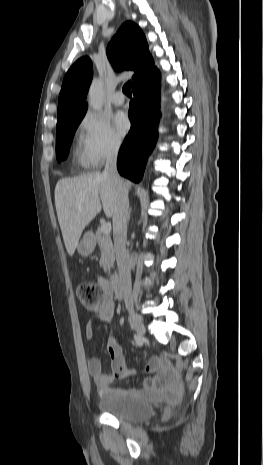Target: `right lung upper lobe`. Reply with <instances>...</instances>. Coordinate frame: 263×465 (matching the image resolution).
<instances>
[{
	"instance_id": "right-lung-upper-lobe-1",
	"label": "right lung upper lobe",
	"mask_w": 263,
	"mask_h": 465,
	"mask_svg": "<svg viewBox=\"0 0 263 465\" xmlns=\"http://www.w3.org/2000/svg\"><path fill=\"white\" fill-rule=\"evenodd\" d=\"M107 56L116 70H134L133 86L157 69L148 52L142 30L135 23L125 22L107 47ZM93 76L88 57L78 59L68 70L62 83L58 101L57 123L77 112L87 110L86 98Z\"/></svg>"
}]
</instances>
